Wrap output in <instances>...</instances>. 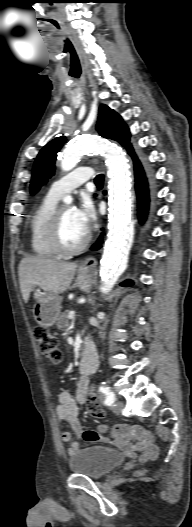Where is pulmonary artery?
Wrapping results in <instances>:
<instances>
[{
	"instance_id": "1",
	"label": "pulmonary artery",
	"mask_w": 192,
	"mask_h": 527,
	"mask_svg": "<svg viewBox=\"0 0 192 527\" xmlns=\"http://www.w3.org/2000/svg\"><path fill=\"white\" fill-rule=\"evenodd\" d=\"M92 177V168L86 166L79 167L61 179L55 181L51 185L48 194L52 197L60 198L81 186Z\"/></svg>"
}]
</instances>
